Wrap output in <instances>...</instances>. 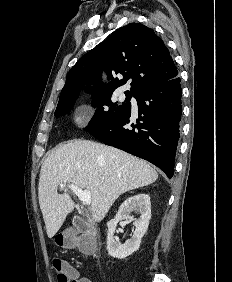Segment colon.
I'll list each match as a JSON object with an SVG mask.
<instances>
[{
  "mask_svg": "<svg viewBox=\"0 0 232 282\" xmlns=\"http://www.w3.org/2000/svg\"><path fill=\"white\" fill-rule=\"evenodd\" d=\"M56 244L67 249H75L82 253H89L92 243L85 236H76L71 233L61 234L56 237ZM52 267L58 282H74L73 267L60 257L52 259Z\"/></svg>",
  "mask_w": 232,
  "mask_h": 282,
  "instance_id": "5ec220e1",
  "label": "colon"
}]
</instances>
